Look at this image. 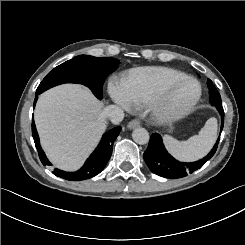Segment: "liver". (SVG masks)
I'll use <instances>...</instances> for the list:
<instances>
[{"label":"liver","instance_id":"6515ba94","mask_svg":"<svg viewBox=\"0 0 245 245\" xmlns=\"http://www.w3.org/2000/svg\"><path fill=\"white\" fill-rule=\"evenodd\" d=\"M103 103L79 84H63L40 95L34 119L42 148L55 167L76 171L106 130Z\"/></svg>","mask_w":245,"mask_h":245}]
</instances>
